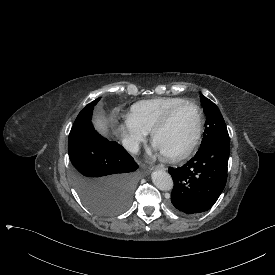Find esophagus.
I'll list each match as a JSON object with an SVG mask.
<instances>
[{"mask_svg":"<svg viewBox=\"0 0 275 275\" xmlns=\"http://www.w3.org/2000/svg\"><path fill=\"white\" fill-rule=\"evenodd\" d=\"M150 169H152V170H167V168L164 164H157L155 166H152Z\"/></svg>","mask_w":275,"mask_h":275,"instance_id":"obj_1","label":"esophagus"}]
</instances>
